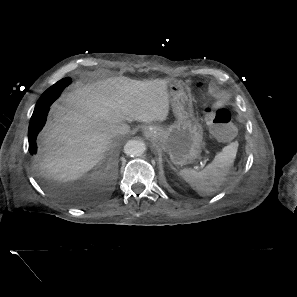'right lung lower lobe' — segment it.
Here are the masks:
<instances>
[{
  "label": "right lung lower lobe",
  "instance_id": "right-lung-lower-lobe-1",
  "mask_svg": "<svg viewBox=\"0 0 297 297\" xmlns=\"http://www.w3.org/2000/svg\"><path fill=\"white\" fill-rule=\"evenodd\" d=\"M51 104V100L45 103L38 100L35 106L28 130L29 151L31 155H34L37 152L36 137L46 122L49 106Z\"/></svg>",
  "mask_w": 297,
  "mask_h": 297
}]
</instances>
